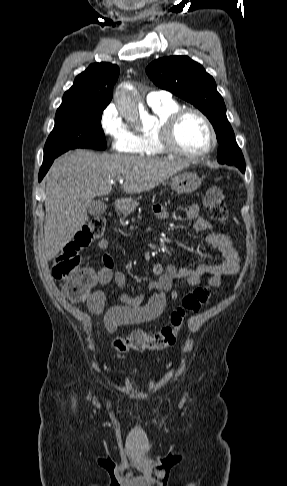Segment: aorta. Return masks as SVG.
Returning a JSON list of instances; mask_svg holds the SVG:
<instances>
[{
    "mask_svg": "<svg viewBox=\"0 0 287 486\" xmlns=\"http://www.w3.org/2000/svg\"><path fill=\"white\" fill-rule=\"evenodd\" d=\"M118 110L129 122L141 121L144 127L151 126L154 123V117L149 115L140 102L137 94L128 90L119 92Z\"/></svg>",
    "mask_w": 287,
    "mask_h": 486,
    "instance_id": "1",
    "label": "aorta"
}]
</instances>
